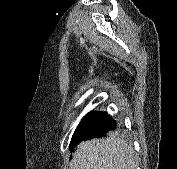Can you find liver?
<instances>
[{
  "instance_id": "6515ba94",
  "label": "liver",
  "mask_w": 177,
  "mask_h": 169,
  "mask_svg": "<svg viewBox=\"0 0 177 169\" xmlns=\"http://www.w3.org/2000/svg\"><path fill=\"white\" fill-rule=\"evenodd\" d=\"M136 158L131 145L115 136L93 139L77 146L71 169H135Z\"/></svg>"
}]
</instances>
